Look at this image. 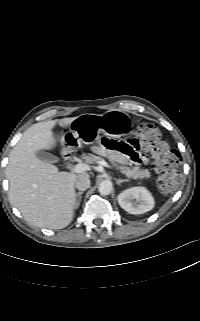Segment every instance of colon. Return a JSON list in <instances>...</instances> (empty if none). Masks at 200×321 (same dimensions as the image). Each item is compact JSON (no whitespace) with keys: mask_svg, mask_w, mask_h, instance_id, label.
<instances>
[{"mask_svg":"<svg viewBox=\"0 0 200 321\" xmlns=\"http://www.w3.org/2000/svg\"><path fill=\"white\" fill-rule=\"evenodd\" d=\"M136 137L141 139L145 150L153 158L159 189L166 194L175 191L181 182L179 153L169 147L162 139L160 131L151 124H140Z\"/></svg>","mask_w":200,"mask_h":321,"instance_id":"1","label":"colon"}]
</instances>
